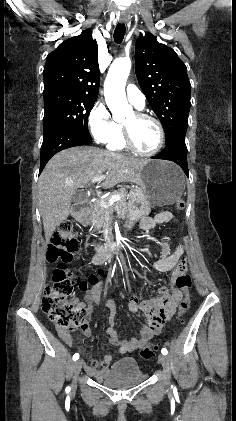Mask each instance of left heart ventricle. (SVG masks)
<instances>
[{"mask_svg": "<svg viewBox=\"0 0 236 421\" xmlns=\"http://www.w3.org/2000/svg\"><path fill=\"white\" fill-rule=\"evenodd\" d=\"M129 130L135 146L144 152L152 151L158 143V131L156 126L146 119H139L133 113L124 122Z\"/></svg>", "mask_w": 236, "mask_h": 421, "instance_id": "b2bd125f", "label": "left heart ventricle"}]
</instances>
